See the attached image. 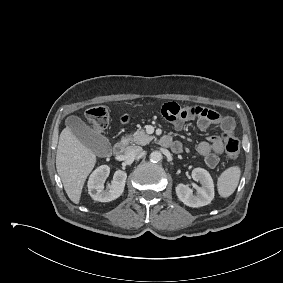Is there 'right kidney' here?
I'll use <instances>...</instances> for the list:
<instances>
[{
    "mask_svg": "<svg viewBox=\"0 0 283 283\" xmlns=\"http://www.w3.org/2000/svg\"><path fill=\"white\" fill-rule=\"evenodd\" d=\"M110 167L101 165L93 171L88 180V193L95 201L110 202L120 197L124 191L127 174L117 170L108 189L104 190V182L109 176Z\"/></svg>",
    "mask_w": 283,
    "mask_h": 283,
    "instance_id": "ca27d5eb",
    "label": "right kidney"
}]
</instances>
